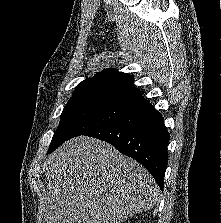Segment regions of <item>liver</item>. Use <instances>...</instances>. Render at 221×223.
I'll return each instance as SVG.
<instances>
[{"mask_svg":"<svg viewBox=\"0 0 221 223\" xmlns=\"http://www.w3.org/2000/svg\"><path fill=\"white\" fill-rule=\"evenodd\" d=\"M44 167L43 223H121L153 208L160 196L141 164L87 136L65 142Z\"/></svg>","mask_w":221,"mask_h":223,"instance_id":"obj_1","label":"liver"}]
</instances>
